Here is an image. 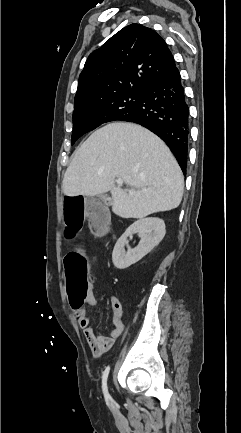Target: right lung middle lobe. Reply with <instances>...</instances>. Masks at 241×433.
I'll list each match as a JSON object with an SVG mask.
<instances>
[{"label": "right lung middle lobe", "instance_id": "obj_1", "mask_svg": "<svg viewBox=\"0 0 241 433\" xmlns=\"http://www.w3.org/2000/svg\"><path fill=\"white\" fill-rule=\"evenodd\" d=\"M141 99V91H127L74 104L72 144L101 124L120 120L133 111Z\"/></svg>", "mask_w": 241, "mask_h": 433}]
</instances>
